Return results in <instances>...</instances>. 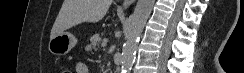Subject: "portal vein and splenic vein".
<instances>
[{
  "label": "portal vein and splenic vein",
  "mask_w": 244,
  "mask_h": 73,
  "mask_svg": "<svg viewBox=\"0 0 244 73\" xmlns=\"http://www.w3.org/2000/svg\"><path fill=\"white\" fill-rule=\"evenodd\" d=\"M102 47H106L107 43L106 42H102Z\"/></svg>",
  "instance_id": "1"
}]
</instances>
